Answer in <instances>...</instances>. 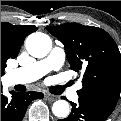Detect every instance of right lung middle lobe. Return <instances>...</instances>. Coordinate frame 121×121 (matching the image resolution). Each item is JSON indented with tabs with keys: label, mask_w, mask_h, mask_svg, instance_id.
I'll return each mask as SVG.
<instances>
[{
	"label": "right lung middle lobe",
	"mask_w": 121,
	"mask_h": 121,
	"mask_svg": "<svg viewBox=\"0 0 121 121\" xmlns=\"http://www.w3.org/2000/svg\"><path fill=\"white\" fill-rule=\"evenodd\" d=\"M5 67H6V60L1 58V76L4 74Z\"/></svg>",
	"instance_id": "1"
}]
</instances>
